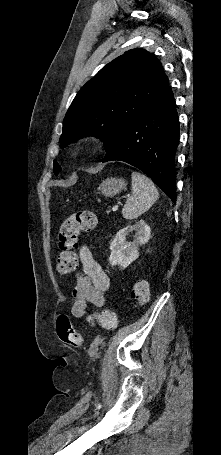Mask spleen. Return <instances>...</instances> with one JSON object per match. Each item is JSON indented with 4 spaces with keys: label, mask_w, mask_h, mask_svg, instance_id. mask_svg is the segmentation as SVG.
<instances>
[{
    "label": "spleen",
    "mask_w": 221,
    "mask_h": 455,
    "mask_svg": "<svg viewBox=\"0 0 221 455\" xmlns=\"http://www.w3.org/2000/svg\"><path fill=\"white\" fill-rule=\"evenodd\" d=\"M132 195L122 209L126 220H133L145 213L158 199L159 193L154 183L139 172H132Z\"/></svg>",
    "instance_id": "1"
}]
</instances>
